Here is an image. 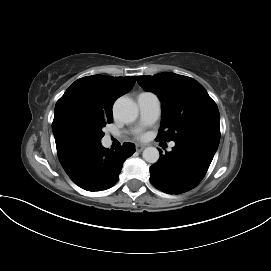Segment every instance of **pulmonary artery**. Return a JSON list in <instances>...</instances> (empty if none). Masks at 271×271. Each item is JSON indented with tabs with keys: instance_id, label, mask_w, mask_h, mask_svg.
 <instances>
[{
	"instance_id": "1",
	"label": "pulmonary artery",
	"mask_w": 271,
	"mask_h": 271,
	"mask_svg": "<svg viewBox=\"0 0 271 271\" xmlns=\"http://www.w3.org/2000/svg\"><path fill=\"white\" fill-rule=\"evenodd\" d=\"M137 104L140 110V121L142 124H151L155 122L160 115V100L152 92H143L137 97ZM175 143L170 144L173 148Z\"/></svg>"
}]
</instances>
